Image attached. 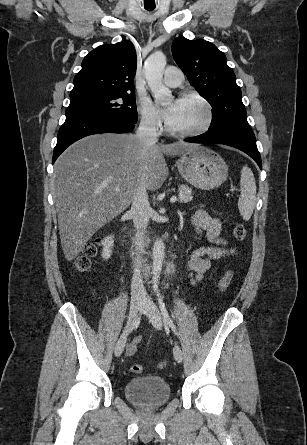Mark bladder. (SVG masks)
Wrapping results in <instances>:
<instances>
[{"label": "bladder", "mask_w": 307, "mask_h": 445, "mask_svg": "<svg viewBox=\"0 0 307 445\" xmlns=\"http://www.w3.org/2000/svg\"><path fill=\"white\" fill-rule=\"evenodd\" d=\"M124 394L132 404L143 409H155L168 402L171 388L160 376L149 375L130 379L124 385Z\"/></svg>", "instance_id": "1"}]
</instances>
